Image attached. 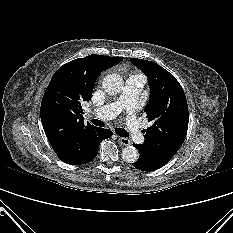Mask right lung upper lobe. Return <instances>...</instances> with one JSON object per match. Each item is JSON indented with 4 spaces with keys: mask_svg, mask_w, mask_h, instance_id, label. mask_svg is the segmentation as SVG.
I'll list each match as a JSON object with an SVG mask.
<instances>
[{
    "mask_svg": "<svg viewBox=\"0 0 233 233\" xmlns=\"http://www.w3.org/2000/svg\"><path fill=\"white\" fill-rule=\"evenodd\" d=\"M123 58L89 55L61 66L52 76L41 102V121L48 140L61 160L78 152L97 128L84 124L82 105L92 97L100 73Z\"/></svg>",
    "mask_w": 233,
    "mask_h": 233,
    "instance_id": "obj_1",
    "label": "right lung upper lobe"
}]
</instances>
